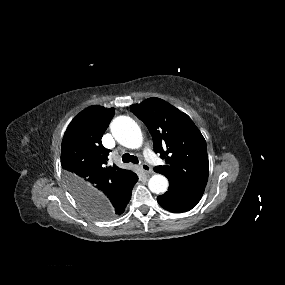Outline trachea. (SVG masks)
<instances>
[{"instance_id": "3493384b", "label": "trachea", "mask_w": 285, "mask_h": 285, "mask_svg": "<svg viewBox=\"0 0 285 285\" xmlns=\"http://www.w3.org/2000/svg\"><path fill=\"white\" fill-rule=\"evenodd\" d=\"M122 161L124 163H134V164H138L139 163V159L134 156V155H130L129 153H125L123 156H122Z\"/></svg>"}]
</instances>
